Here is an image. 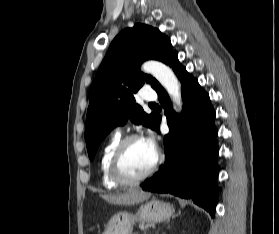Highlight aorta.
Returning <instances> with one entry per match:
<instances>
[{"label":"aorta","mask_w":279,"mask_h":234,"mask_svg":"<svg viewBox=\"0 0 279 234\" xmlns=\"http://www.w3.org/2000/svg\"><path fill=\"white\" fill-rule=\"evenodd\" d=\"M142 70L152 74L166 89L176 106L182 107L180 83L170 67L158 61H147L142 65Z\"/></svg>","instance_id":"1"}]
</instances>
